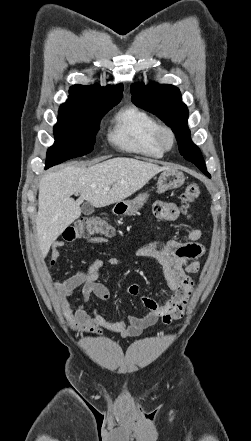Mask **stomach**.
<instances>
[{
    "instance_id": "obj_1",
    "label": "stomach",
    "mask_w": 251,
    "mask_h": 441,
    "mask_svg": "<svg viewBox=\"0 0 251 441\" xmlns=\"http://www.w3.org/2000/svg\"><path fill=\"white\" fill-rule=\"evenodd\" d=\"M184 174L175 168L164 170L157 181V192L163 193L167 190L177 189L184 184ZM147 194H139L133 200H122L115 204L113 212L117 215L135 214L146 202Z\"/></svg>"
}]
</instances>
